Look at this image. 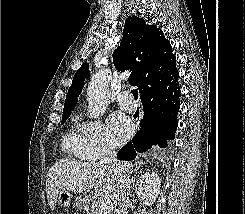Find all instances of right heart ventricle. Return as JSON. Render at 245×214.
Returning a JSON list of instances; mask_svg holds the SVG:
<instances>
[{
    "mask_svg": "<svg viewBox=\"0 0 245 214\" xmlns=\"http://www.w3.org/2000/svg\"><path fill=\"white\" fill-rule=\"evenodd\" d=\"M62 146L65 152L76 157H81L79 138L76 132V127L70 130L62 139Z\"/></svg>",
    "mask_w": 245,
    "mask_h": 214,
    "instance_id": "e07e8e85",
    "label": "right heart ventricle"
}]
</instances>
